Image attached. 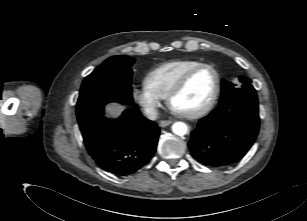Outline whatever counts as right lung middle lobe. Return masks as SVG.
<instances>
[{
	"label": "right lung middle lobe",
	"mask_w": 307,
	"mask_h": 221,
	"mask_svg": "<svg viewBox=\"0 0 307 221\" xmlns=\"http://www.w3.org/2000/svg\"><path fill=\"white\" fill-rule=\"evenodd\" d=\"M133 63V58L116 55L105 60L84 79L77 102L78 120L111 101L125 100V104L133 102Z\"/></svg>",
	"instance_id": "dd1d6c3e"
}]
</instances>
